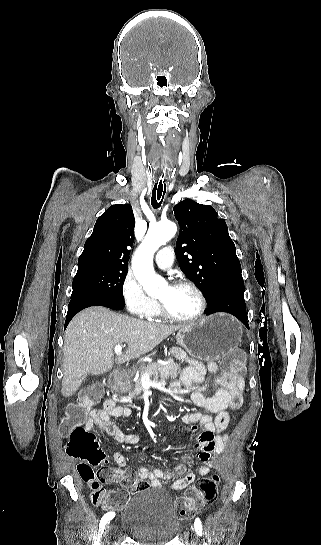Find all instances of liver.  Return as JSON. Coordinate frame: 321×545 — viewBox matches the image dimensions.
Segmentation results:
<instances>
[{
	"label": "liver",
	"instance_id": "liver-1",
	"mask_svg": "<svg viewBox=\"0 0 321 545\" xmlns=\"http://www.w3.org/2000/svg\"><path fill=\"white\" fill-rule=\"evenodd\" d=\"M183 327L133 319L105 307L81 311L65 331L63 397H72L87 375H103L114 363L123 365L130 359H139ZM122 343H127L125 353L114 359L113 349Z\"/></svg>",
	"mask_w": 321,
	"mask_h": 545
}]
</instances>
